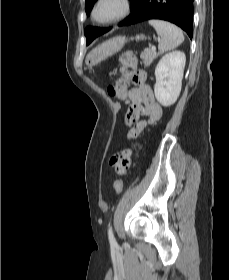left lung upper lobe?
<instances>
[{
  "label": "left lung upper lobe",
  "instance_id": "1",
  "mask_svg": "<svg viewBox=\"0 0 229 280\" xmlns=\"http://www.w3.org/2000/svg\"><path fill=\"white\" fill-rule=\"evenodd\" d=\"M134 3L136 0H132ZM96 2V0H85V11L89 14L93 4ZM109 28H97V27H86L84 33L87 38V45L90 44L93 39L98 37L99 35L107 32Z\"/></svg>",
  "mask_w": 229,
  "mask_h": 280
}]
</instances>
